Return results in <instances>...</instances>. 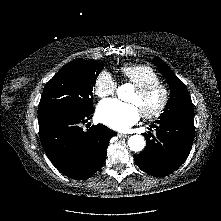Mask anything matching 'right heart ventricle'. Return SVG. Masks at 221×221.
Instances as JSON below:
<instances>
[{
  "label": "right heart ventricle",
  "mask_w": 221,
  "mask_h": 221,
  "mask_svg": "<svg viewBox=\"0 0 221 221\" xmlns=\"http://www.w3.org/2000/svg\"><path fill=\"white\" fill-rule=\"evenodd\" d=\"M120 73L125 81L135 87L159 81L156 71L151 66L145 64L123 65L120 67Z\"/></svg>",
  "instance_id": "1"
}]
</instances>
